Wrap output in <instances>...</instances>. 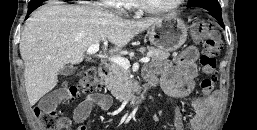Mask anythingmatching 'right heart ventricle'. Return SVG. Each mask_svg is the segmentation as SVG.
<instances>
[{
  "label": "right heart ventricle",
  "instance_id": "obj_1",
  "mask_svg": "<svg viewBox=\"0 0 257 130\" xmlns=\"http://www.w3.org/2000/svg\"><path fill=\"white\" fill-rule=\"evenodd\" d=\"M136 6L135 1L134 0H127V3L125 5V7L127 8H134Z\"/></svg>",
  "mask_w": 257,
  "mask_h": 130
}]
</instances>
